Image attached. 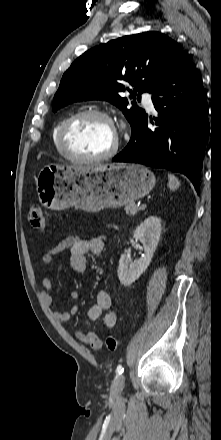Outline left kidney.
Listing matches in <instances>:
<instances>
[{
	"label": "left kidney",
	"mask_w": 221,
	"mask_h": 440,
	"mask_svg": "<svg viewBox=\"0 0 221 440\" xmlns=\"http://www.w3.org/2000/svg\"><path fill=\"white\" fill-rule=\"evenodd\" d=\"M161 231V219L157 216L148 217L136 228L133 238L143 244L145 253L136 261H133L129 255H121L118 278L122 285H131L147 269L158 246Z\"/></svg>",
	"instance_id": "1"
}]
</instances>
